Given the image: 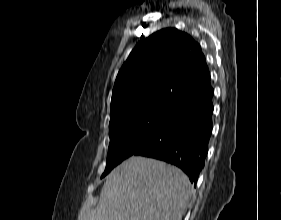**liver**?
<instances>
[{
	"instance_id": "liver-1",
	"label": "liver",
	"mask_w": 281,
	"mask_h": 220,
	"mask_svg": "<svg viewBox=\"0 0 281 220\" xmlns=\"http://www.w3.org/2000/svg\"><path fill=\"white\" fill-rule=\"evenodd\" d=\"M192 191L179 168L133 156L109 173L97 206L78 220H182Z\"/></svg>"
}]
</instances>
